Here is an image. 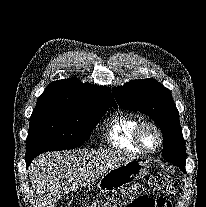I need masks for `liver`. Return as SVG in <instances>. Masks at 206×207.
<instances>
[{"label": "liver", "instance_id": "1", "mask_svg": "<svg viewBox=\"0 0 206 207\" xmlns=\"http://www.w3.org/2000/svg\"><path fill=\"white\" fill-rule=\"evenodd\" d=\"M135 159L119 151L73 150L36 157L29 177L37 194L38 207H54L65 194L86 186L113 168Z\"/></svg>", "mask_w": 206, "mask_h": 207}]
</instances>
